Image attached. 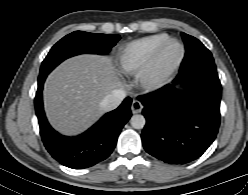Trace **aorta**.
<instances>
[{"mask_svg":"<svg viewBox=\"0 0 248 195\" xmlns=\"http://www.w3.org/2000/svg\"><path fill=\"white\" fill-rule=\"evenodd\" d=\"M131 126L135 129H142L145 126V117L141 114L133 115L130 119Z\"/></svg>","mask_w":248,"mask_h":195,"instance_id":"762f6f07","label":"aorta"}]
</instances>
